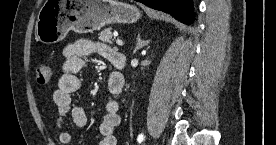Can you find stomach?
<instances>
[{"instance_id": "1", "label": "stomach", "mask_w": 276, "mask_h": 145, "mask_svg": "<svg viewBox=\"0 0 276 145\" xmlns=\"http://www.w3.org/2000/svg\"><path fill=\"white\" fill-rule=\"evenodd\" d=\"M140 11L115 0H46L36 22V37L44 44L63 40L70 30L87 33L107 24L133 23Z\"/></svg>"}]
</instances>
